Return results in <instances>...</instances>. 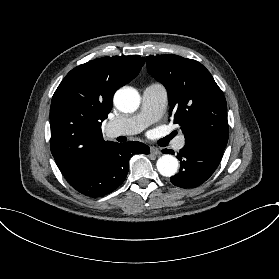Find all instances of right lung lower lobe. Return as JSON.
Listing matches in <instances>:
<instances>
[{
    "label": "right lung lower lobe",
    "mask_w": 279,
    "mask_h": 279,
    "mask_svg": "<svg viewBox=\"0 0 279 279\" xmlns=\"http://www.w3.org/2000/svg\"><path fill=\"white\" fill-rule=\"evenodd\" d=\"M149 152L150 149L147 145L137 141L111 142L89 170L68 183L85 196L103 197L124 182L132 155L148 154Z\"/></svg>",
    "instance_id": "1"
}]
</instances>
